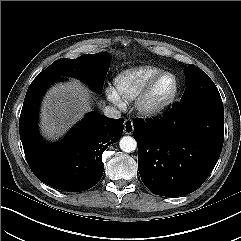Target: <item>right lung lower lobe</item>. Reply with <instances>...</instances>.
Wrapping results in <instances>:
<instances>
[{
    "mask_svg": "<svg viewBox=\"0 0 241 241\" xmlns=\"http://www.w3.org/2000/svg\"><path fill=\"white\" fill-rule=\"evenodd\" d=\"M57 80L29 86L20 115V138L27 162L40 181L62 191H84L101 179L102 153L120 139L124 120L91 112L60 143L46 144L38 133V106L45 89Z\"/></svg>",
    "mask_w": 241,
    "mask_h": 241,
    "instance_id": "98d812e1",
    "label": "right lung lower lobe"
}]
</instances>
